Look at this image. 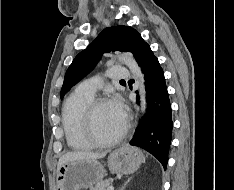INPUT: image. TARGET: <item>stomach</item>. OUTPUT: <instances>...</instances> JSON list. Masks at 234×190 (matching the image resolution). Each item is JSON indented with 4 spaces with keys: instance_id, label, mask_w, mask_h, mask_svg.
<instances>
[{
    "instance_id": "1",
    "label": "stomach",
    "mask_w": 234,
    "mask_h": 190,
    "mask_svg": "<svg viewBox=\"0 0 234 190\" xmlns=\"http://www.w3.org/2000/svg\"><path fill=\"white\" fill-rule=\"evenodd\" d=\"M144 161L143 153L128 145L115 149L108 156L112 173L131 174ZM104 166L96 159H82L64 163L57 171V190H80L92 187L103 180Z\"/></svg>"
}]
</instances>
